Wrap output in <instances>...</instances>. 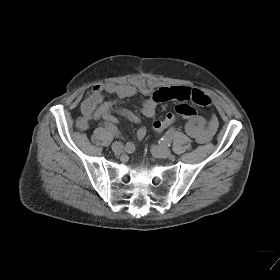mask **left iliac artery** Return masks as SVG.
Wrapping results in <instances>:
<instances>
[{
	"instance_id": "left-iliac-artery-1",
	"label": "left iliac artery",
	"mask_w": 280,
	"mask_h": 280,
	"mask_svg": "<svg viewBox=\"0 0 280 280\" xmlns=\"http://www.w3.org/2000/svg\"><path fill=\"white\" fill-rule=\"evenodd\" d=\"M175 130L176 129L174 127L169 128L165 133V135L163 136L162 141L166 144L171 143L173 136L175 134Z\"/></svg>"
}]
</instances>
